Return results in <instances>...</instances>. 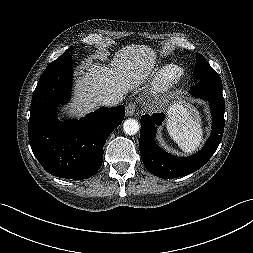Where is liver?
<instances>
[{"label":"liver","mask_w":253,"mask_h":253,"mask_svg":"<svg viewBox=\"0 0 253 253\" xmlns=\"http://www.w3.org/2000/svg\"><path fill=\"white\" fill-rule=\"evenodd\" d=\"M155 58L152 48L132 44L116 52L109 66H99L88 60L81 67L82 76L76 82L74 102L69 111L79 116L94 111L100 95L123 99L129 90L150 74Z\"/></svg>","instance_id":"liver-1"}]
</instances>
